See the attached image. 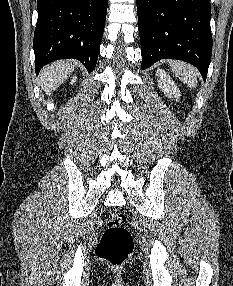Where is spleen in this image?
I'll return each instance as SVG.
<instances>
[{
	"label": "spleen",
	"mask_w": 233,
	"mask_h": 286,
	"mask_svg": "<svg viewBox=\"0 0 233 286\" xmlns=\"http://www.w3.org/2000/svg\"><path fill=\"white\" fill-rule=\"evenodd\" d=\"M172 72L189 87L197 86V71L196 69L183 61H170Z\"/></svg>",
	"instance_id": "obj_1"
}]
</instances>
